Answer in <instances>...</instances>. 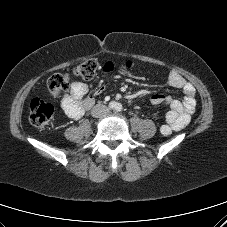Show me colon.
Instances as JSON below:
<instances>
[{
	"label": "colon",
	"instance_id": "colon-1",
	"mask_svg": "<svg viewBox=\"0 0 227 227\" xmlns=\"http://www.w3.org/2000/svg\"><path fill=\"white\" fill-rule=\"evenodd\" d=\"M127 69L132 68V63L125 64ZM98 70V64L95 60L89 59L77 65L73 70V75L84 81L91 80ZM70 74H55L48 80L47 87L49 93L57 98L70 88ZM55 107L53 104L41 99L35 98L30 104V122L39 129H49L53 125Z\"/></svg>",
	"mask_w": 227,
	"mask_h": 227
}]
</instances>
